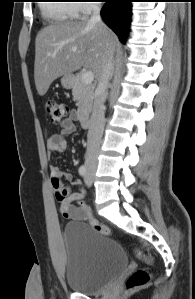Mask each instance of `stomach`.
I'll return each instance as SVG.
<instances>
[{"instance_id":"0dacf381","label":"stomach","mask_w":195,"mask_h":299,"mask_svg":"<svg viewBox=\"0 0 195 299\" xmlns=\"http://www.w3.org/2000/svg\"><path fill=\"white\" fill-rule=\"evenodd\" d=\"M61 84L64 88H71L74 85V77L73 75H64L61 78Z\"/></svg>"}]
</instances>
